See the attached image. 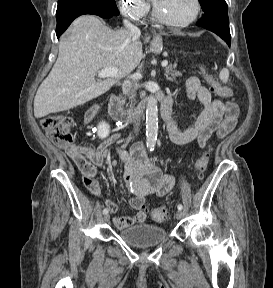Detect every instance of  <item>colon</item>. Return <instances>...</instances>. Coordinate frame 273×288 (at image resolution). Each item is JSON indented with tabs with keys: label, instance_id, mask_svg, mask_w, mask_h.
Here are the masks:
<instances>
[{
	"label": "colon",
	"instance_id": "5ec220e1",
	"mask_svg": "<svg viewBox=\"0 0 273 288\" xmlns=\"http://www.w3.org/2000/svg\"><path fill=\"white\" fill-rule=\"evenodd\" d=\"M206 78L211 85L212 90L220 97L230 98L233 95L231 88L220 84L213 76L206 74ZM41 125L46 135L52 143L60 148H68L73 143L72 120L70 117L62 114L48 115L41 121ZM211 147L207 149L194 164V170L197 178L201 179L208 167ZM152 219L156 222H164L168 219L169 212L165 207L153 208L150 210Z\"/></svg>",
	"mask_w": 273,
	"mask_h": 288
}]
</instances>
